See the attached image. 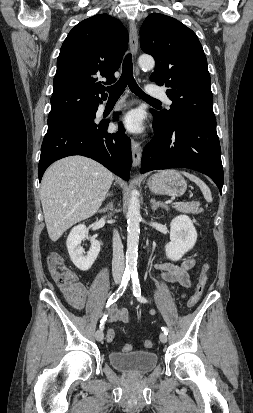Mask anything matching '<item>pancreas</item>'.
Masks as SVG:
<instances>
[{"label":"pancreas","instance_id":"1","mask_svg":"<svg viewBox=\"0 0 253 413\" xmlns=\"http://www.w3.org/2000/svg\"><path fill=\"white\" fill-rule=\"evenodd\" d=\"M199 202H177L174 203V208L179 212L183 213H191V214H199L202 212V209L199 208Z\"/></svg>","mask_w":253,"mask_h":413}]
</instances>
